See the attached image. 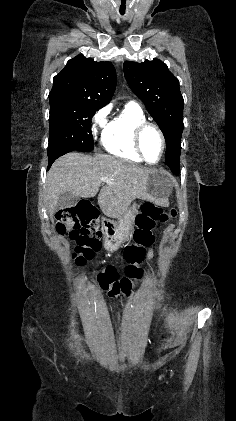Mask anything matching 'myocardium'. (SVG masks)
<instances>
[{
  "mask_svg": "<svg viewBox=\"0 0 236 421\" xmlns=\"http://www.w3.org/2000/svg\"><path fill=\"white\" fill-rule=\"evenodd\" d=\"M148 128L154 129L158 133V135L160 136V139H161V142H162V154H161V157H160L159 161L156 162V163L149 162V160L147 159V157H146V155L143 151V148H142V135H143L144 131ZM133 140H134V146H135V149H136L137 153L139 154V156L141 157V159L145 163H147L149 165H156L163 160L165 152H166L167 141H166V137H165L164 132L162 131V129L158 125H156L154 123H151V122H147V121L140 123L134 130Z\"/></svg>",
  "mask_w": 236,
  "mask_h": 421,
  "instance_id": "1",
  "label": "myocardium"
}]
</instances>
